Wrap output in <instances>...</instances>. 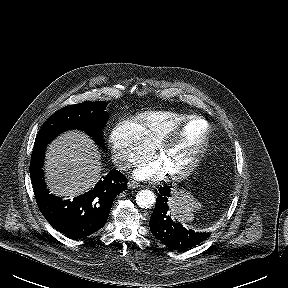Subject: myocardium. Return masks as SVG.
Instances as JSON below:
<instances>
[{"instance_id":"obj_1","label":"myocardium","mask_w":288,"mask_h":288,"mask_svg":"<svg viewBox=\"0 0 288 288\" xmlns=\"http://www.w3.org/2000/svg\"><path fill=\"white\" fill-rule=\"evenodd\" d=\"M192 121H202L206 125L205 134L202 142L194 152L193 156L190 160L181 168L175 171L169 172L170 177L173 179H182L190 175L195 168L197 167L199 161L207 150L210 137H211V125L210 123L202 116L199 115H190L183 121L179 122L175 126H173L168 132H166L159 140L156 151L158 156H162L165 151L170 147V145L177 139L180 132Z\"/></svg>"}]
</instances>
